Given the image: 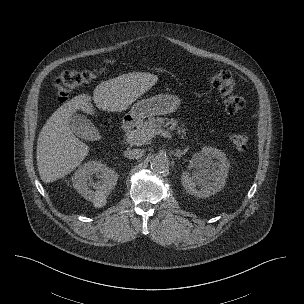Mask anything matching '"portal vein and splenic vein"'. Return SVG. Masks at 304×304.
Wrapping results in <instances>:
<instances>
[{"instance_id":"obj_1","label":"portal vein and splenic vein","mask_w":304,"mask_h":304,"mask_svg":"<svg viewBox=\"0 0 304 304\" xmlns=\"http://www.w3.org/2000/svg\"><path fill=\"white\" fill-rule=\"evenodd\" d=\"M156 134H160V135H162L164 137H168V138L172 137V135L168 131H164L162 129L151 131L149 133L148 137L153 138V137H155Z\"/></svg>"}]
</instances>
